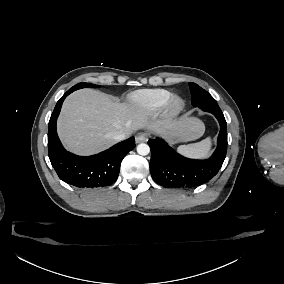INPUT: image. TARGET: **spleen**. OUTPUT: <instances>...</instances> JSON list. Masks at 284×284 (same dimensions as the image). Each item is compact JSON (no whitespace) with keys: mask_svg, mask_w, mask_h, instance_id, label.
I'll return each mask as SVG.
<instances>
[{"mask_svg":"<svg viewBox=\"0 0 284 284\" xmlns=\"http://www.w3.org/2000/svg\"><path fill=\"white\" fill-rule=\"evenodd\" d=\"M209 140L205 139L201 142L191 143L188 145H181L179 150L187 155L203 156L208 153Z\"/></svg>","mask_w":284,"mask_h":284,"instance_id":"obj_1","label":"spleen"}]
</instances>
